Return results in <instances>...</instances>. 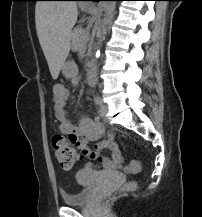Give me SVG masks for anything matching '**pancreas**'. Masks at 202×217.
Segmentation results:
<instances>
[{
    "instance_id": "cf45deb5",
    "label": "pancreas",
    "mask_w": 202,
    "mask_h": 217,
    "mask_svg": "<svg viewBox=\"0 0 202 217\" xmlns=\"http://www.w3.org/2000/svg\"><path fill=\"white\" fill-rule=\"evenodd\" d=\"M89 38V33L87 30L82 28H75L72 32V49L74 51H79L82 46H84Z\"/></svg>"
}]
</instances>
